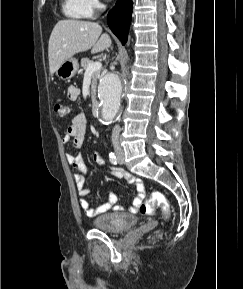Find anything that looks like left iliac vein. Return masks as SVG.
<instances>
[{
	"label": "left iliac vein",
	"mask_w": 243,
	"mask_h": 289,
	"mask_svg": "<svg viewBox=\"0 0 243 289\" xmlns=\"http://www.w3.org/2000/svg\"><path fill=\"white\" fill-rule=\"evenodd\" d=\"M118 162L120 164H123L124 163V153L123 152H119L118 153Z\"/></svg>",
	"instance_id": "1"
}]
</instances>
